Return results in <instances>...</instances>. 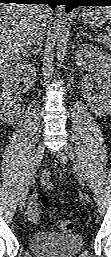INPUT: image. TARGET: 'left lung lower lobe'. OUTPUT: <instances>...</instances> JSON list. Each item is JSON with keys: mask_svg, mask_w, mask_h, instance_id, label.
Returning a JSON list of instances; mask_svg holds the SVG:
<instances>
[{"mask_svg": "<svg viewBox=\"0 0 111 257\" xmlns=\"http://www.w3.org/2000/svg\"><path fill=\"white\" fill-rule=\"evenodd\" d=\"M66 11L70 12L76 6H111V0H65Z\"/></svg>", "mask_w": 111, "mask_h": 257, "instance_id": "left-lung-lower-lobe-1", "label": "left lung lower lobe"}]
</instances>
